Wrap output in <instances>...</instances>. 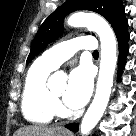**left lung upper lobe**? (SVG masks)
I'll return each instance as SVG.
<instances>
[{"instance_id":"1","label":"left lung upper lobe","mask_w":136,"mask_h":136,"mask_svg":"<svg viewBox=\"0 0 136 136\" xmlns=\"http://www.w3.org/2000/svg\"><path fill=\"white\" fill-rule=\"evenodd\" d=\"M76 10H91L101 14L111 24L113 30L125 19L121 0H67L40 26L32 42L27 63L62 34L64 17Z\"/></svg>"}]
</instances>
